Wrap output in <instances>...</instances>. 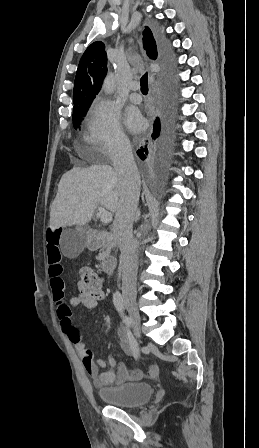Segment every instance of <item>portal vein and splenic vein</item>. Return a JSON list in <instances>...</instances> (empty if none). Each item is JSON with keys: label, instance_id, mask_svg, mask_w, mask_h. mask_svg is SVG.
<instances>
[{"label": "portal vein and splenic vein", "instance_id": "portal-vein-and-splenic-vein-1", "mask_svg": "<svg viewBox=\"0 0 259 448\" xmlns=\"http://www.w3.org/2000/svg\"><path fill=\"white\" fill-rule=\"evenodd\" d=\"M100 220L103 224H110L113 220L112 214L110 212H106V210H101L100 212Z\"/></svg>", "mask_w": 259, "mask_h": 448}]
</instances>
